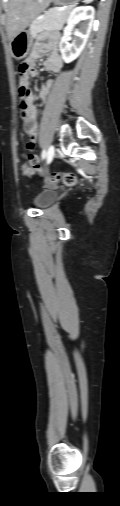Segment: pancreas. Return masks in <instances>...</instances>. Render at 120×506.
<instances>
[{
    "mask_svg": "<svg viewBox=\"0 0 120 506\" xmlns=\"http://www.w3.org/2000/svg\"><path fill=\"white\" fill-rule=\"evenodd\" d=\"M71 12V8L60 9L54 7L45 12L44 17L35 21L30 26V32L33 37L42 31H57L63 28V25Z\"/></svg>",
    "mask_w": 120,
    "mask_h": 506,
    "instance_id": "pancreas-1",
    "label": "pancreas"
}]
</instances>
